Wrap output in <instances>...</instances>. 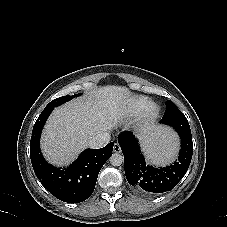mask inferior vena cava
<instances>
[{
  "mask_svg": "<svg viewBox=\"0 0 227 227\" xmlns=\"http://www.w3.org/2000/svg\"><path fill=\"white\" fill-rule=\"evenodd\" d=\"M111 139L109 132L99 133L90 138L88 146L91 148H102L106 146Z\"/></svg>",
  "mask_w": 227,
  "mask_h": 227,
  "instance_id": "obj_1",
  "label": "inferior vena cava"
}]
</instances>
